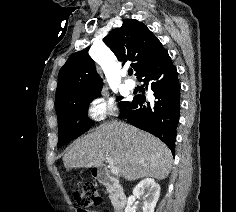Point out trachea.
Masks as SVG:
<instances>
[{
	"label": "trachea",
	"instance_id": "trachea-1",
	"mask_svg": "<svg viewBox=\"0 0 236 212\" xmlns=\"http://www.w3.org/2000/svg\"><path fill=\"white\" fill-rule=\"evenodd\" d=\"M128 74H129V75H132V74H133V70H132V69H129V70H128Z\"/></svg>",
	"mask_w": 236,
	"mask_h": 212
}]
</instances>
